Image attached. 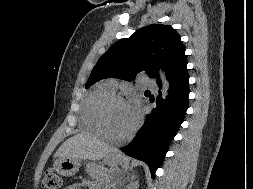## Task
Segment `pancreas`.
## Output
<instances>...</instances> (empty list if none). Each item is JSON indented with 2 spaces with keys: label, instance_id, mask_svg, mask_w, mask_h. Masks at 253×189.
<instances>
[{
  "label": "pancreas",
  "instance_id": "cf45deb5",
  "mask_svg": "<svg viewBox=\"0 0 253 189\" xmlns=\"http://www.w3.org/2000/svg\"><path fill=\"white\" fill-rule=\"evenodd\" d=\"M86 172L91 178L96 179L105 185L109 183L112 173L111 170L93 164L87 166Z\"/></svg>",
  "mask_w": 253,
  "mask_h": 189
}]
</instances>
